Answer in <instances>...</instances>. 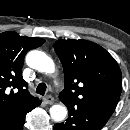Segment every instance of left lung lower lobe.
<instances>
[{
	"label": "left lung lower lobe",
	"instance_id": "left-lung-lower-lobe-1",
	"mask_svg": "<svg viewBox=\"0 0 130 130\" xmlns=\"http://www.w3.org/2000/svg\"><path fill=\"white\" fill-rule=\"evenodd\" d=\"M62 102L68 108L69 117L66 122L55 124L54 130H101L111 116L93 105Z\"/></svg>",
	"mask_w": 130,
	"mask_h": 130
}]
</instances>
